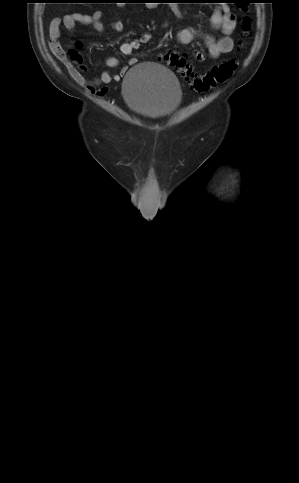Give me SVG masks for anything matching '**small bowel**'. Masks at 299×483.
Returning a JSON list of instances; mask_svg holds the SVG:
<instances>
[{
  "label": "small bowel",
  "mask_w": 299,
  "mask_h": 483,
  "mask_svg": "<svg viewBox=\"0 0 299 483\" xmlns=\"http://www.w3.org/2000/svg\"><path fill=\"white\" fill-rule=\"evenodd\" d=\"M171 9L177 17L182 16V12L178 6H172ZM102 17L103 12L97 10L92 15L72 13L65 15L63 18H54L51 21L48 40L50 50L58 60L65 64L70 72L72 70V63L69 61L65 49L60 43L62 34L61 25L63 24L68 30L76 29L78 24L90 25L94 30L102 32L106 28L105 24L102 22ZM211 25L216 29H220L222 36L216 40L210 35H204L203 39L209 56L213 59H217L221 55L229 54L233 51L234 41L231 35L236 28V21L234 16L229 13L228 7L225 4H219L211 15ZM110 28L115 32H122L124 25L121 21H115L110 25ZM198 36V33L190 28H182L177 32V40L181 44H190ZM151 40V33H143L138 39L121 43L120 52L123 55L130 56L135 50L139 49L142 45L149 43ZM193 56L198 61H203L205 59V54L198 50L193 52ZM105 63L108 67H117L119 65V60L117 57H108ZM136 63H138V59L135 57H131L128 61L129 66L135 65ZM127 68V66L122 67L117 74L104 71L95 78H87L81 74H73V76L76 81L85 85L89 91L104 95L106 88H100V86L108 84L111 81H119L126 73Z\"/></svg>",
  "instance_id": "obj_1"
}]
</instances>
